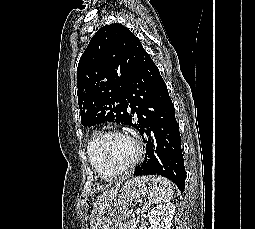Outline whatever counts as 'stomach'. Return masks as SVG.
Returning a JSON list of instances; mask_svg holds the SVG:
<instances>
[{
  "label": "stomach",
  "mask_w": 255,
  "mask_h": 229,
  "mask_svg": "<svg viewBox=\"0 0 255 229\" xmlns=\"http://www.w3.org/2000/svg\"><path fill=\"white\" fill-rule=\"evenodd\" d=\"M156 188L152 176L133 177L126 180L119 194L91 217L90 229H116L130 213L129 203L150 194Z\"/></svg>",
  "instance_id": "stomach-1"
}]
</instances>
